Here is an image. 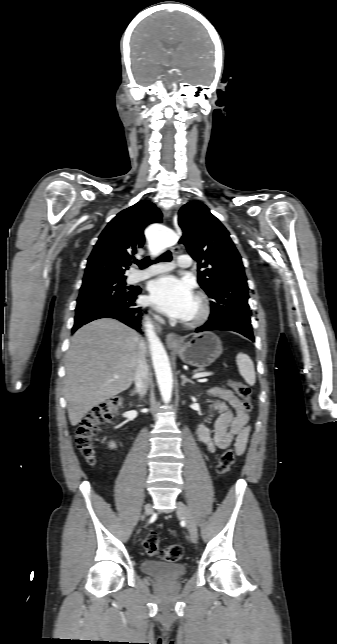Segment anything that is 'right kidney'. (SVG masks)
I'll return each instance as SVG.
<instances>
[{"instance_id":"obj_1","label":"right kidney","mask_w":337,"mask_h":644,"mask_svg":"<svg viewBox=\"0 0 337 644\" xmlns=\"http://www.w3.org/2000/svg\"><path fill=\"white\" fill-rule=\"evenodd\" d=\"M110 447L114 448V447H115V444H114V443H111V444H110Z\"/></svg>"}]
</instances>
